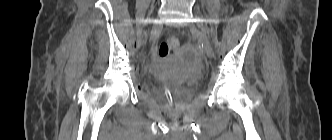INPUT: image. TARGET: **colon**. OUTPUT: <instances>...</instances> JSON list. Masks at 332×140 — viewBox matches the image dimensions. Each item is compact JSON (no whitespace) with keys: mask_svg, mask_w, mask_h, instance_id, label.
<instances>
[{"mask_svg":"<svg viewBox=\"0 0 332 140\" xmlns=\"http://www.w3.org/2000/svg\"><path fill=\"white\" fill-rule=\"evenodd\" d=\"M179 47V40L176 37H170L163 41L158 48V55L162 58L167 57L171 52Z\"/></svg>","mask_w":332,"mask_h":140,"instance_id":"1","label":"colon"}]
</instances>
